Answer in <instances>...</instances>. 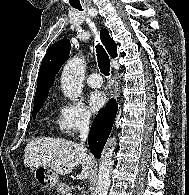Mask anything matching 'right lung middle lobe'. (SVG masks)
<instances>
[{"label": "right lung middle lobe", "instance_id": "dd1d6c3e", "mask_svg": "<svg viewBox=\"0 0 189 195\" xmlns=\"http://www.w3.org/2000/svg\"><path fill=\"white\" fill-rule=\"evenodd\" d=\"M45 99L34 102V107H33V112H32V116L35 118L37 112L39 111V109L41 108L43 102Z\"/></svg>", "mask_w": 189, "mask_h": 195}]
</instances>
